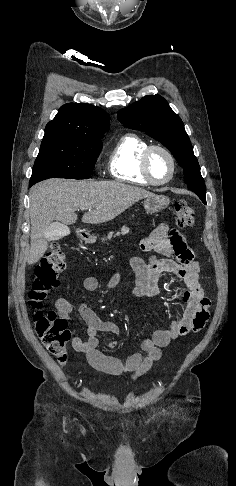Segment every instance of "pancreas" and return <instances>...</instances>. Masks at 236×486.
<instances>
[{"label":"pancreas","instance_id":"1","mask_svg":"<svg viewBox=\"0 0 236 486\" xmlns=\"http://www.w3.org/2000/svg\"><path fill=\"white\" fill-rule=\"evenodd\" d=\"M128 233H129V228H128V227H126V226H123V227L121 228V230H120V231H118L116 234H114V232H110V233L107 235V237L103 239V241H105V240H107V239H108V240H111L113 237L120 236V235H123V236H124V235H126V234H128Z\"/></svg>","mask_w":236,"mask_h":486}]
</instances>
